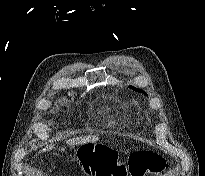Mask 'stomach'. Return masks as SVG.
<instances>
[{
	"instance_id": "0dacf381",
	"label": "stomach",
	"mask_w": 205,
	"mask_h": 176,
	"mask_svg": "<svg viewBox=\"0 0 205 176\" xmlns=\"http://www.w3.org/2000/svg\"><path fill=\"white\" fill-rule=\"evenodd\" d=\"M85 145H88V144H85ZM91 148H93V149H96V148H99L98 146H97V144H92V145H88V146H85L84 147V149H91Z\"/></svg>"
}]
</instances>
